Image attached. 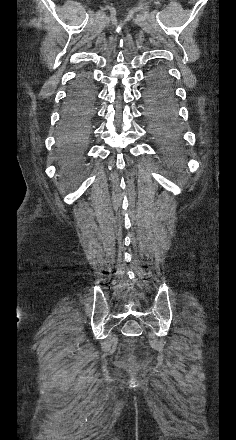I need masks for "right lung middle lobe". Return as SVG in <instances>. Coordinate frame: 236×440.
I'll return each mask as SVG.
<instances>
[{
    "label": "right lung middle lobe",
    "mask_w": 236,
    "mask_h": 440,
    "mask_svg": "<svg viewBox=\"0 0 236 440\" xmlns=\"http://www.w3.org/2000/svg\"><path fill=\"white\" fill-rule=\"evenodd\" d=\"M82 100L80 107L79 123L75 126L61 129L58 136V144L64 160L74 161L81 154V146L86 141L89 134V121L92 117L93 102L95 99V89L92 84H86L77 94ZM71 98H76V93L71 94Z\"/></svg>",
    "instance_id": "1"
}]
</instances>
